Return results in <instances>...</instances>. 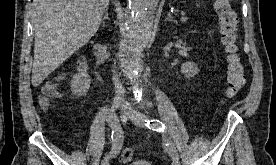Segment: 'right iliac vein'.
I'll return each mask as SVG.
<instances>
[{"instance_id": "63e3f726", "label": "right iliac vein", "mask_w": 276, "mask_h": 165, "mask_svg": "<svg viewBox=\"0 0 276 165\" xmlns=\"http://www.w3.org/2000/svg\"><path fill=\"white\" fill-rule=\"evenodd\" d=\"M120 102L119 101H114L111 105V108L108 111V114L113 117L117 118L116 111L120 107ZM101 165H109V157L105 156L104 159L101 162Z\"/></svg>"}]
</instances>
